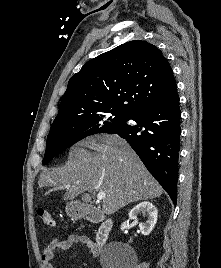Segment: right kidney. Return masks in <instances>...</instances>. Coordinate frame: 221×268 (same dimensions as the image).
<instances>
[{
    "label": "right kidney",
    "instance_id": "right-kidney-1",
    "mask_svg": "<svg viewBox=\"0 0 221 268\" xmlns=\"http://www.w3.org/2000/svg\"><path fill=\"white\" fill-rule=\"evenodd\" d=\"M139 213H143L147 217L145 222L139 223V230L141 234L147 236L151 233L157 222V209L150 202H141L131 209L129 212V218L137 222V216Z\"/></svg>",
    "mask_w": 221,
    "mask_h": 268
}]
</instances>
